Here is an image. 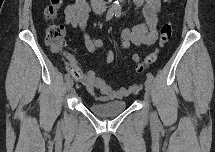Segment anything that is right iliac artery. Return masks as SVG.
Segmentation results:
<instances>
[{
  "mask_svg": "<svg viewBox=\"0 0 215 152\" xmlns=\"http://www.w3.org/2000/svg\"><path fill=\"white\" fill-rule=\"evenodd\" d=\"M114 15V9H109L107 14H106V21H109L110 19H112ZM70 77L69 73L65 74V80H68Z\"/></svg>",
  "mask_w": 215,
  "mask_h": 152,
  "instance_id": "obj_1",
  "label": "right iliac artery"
}]
</instances>
